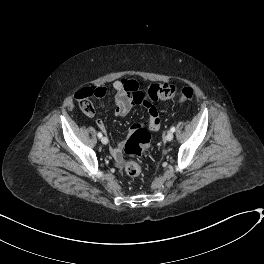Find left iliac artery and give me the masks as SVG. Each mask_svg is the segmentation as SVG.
<instances>
[{"instance_id": "obj_1", "label": "left iliac artery", "mask_w": 264, "mask_h": 264, "mask_svg": "<svg viewBox=\"0 0 264 264\" xmlns=\"http://www.w3.org/2000/svg\"><path fill=\"white\" fill-rule=\"evenodd\" d=\"M170 131H171V132H175V127H172V128L170 129Z\"/></svg>"}]
</instances>
